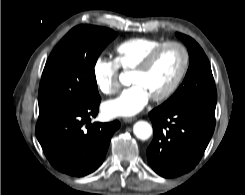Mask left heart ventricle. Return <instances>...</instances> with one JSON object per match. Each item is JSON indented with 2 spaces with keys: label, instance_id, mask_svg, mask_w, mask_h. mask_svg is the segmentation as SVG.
<instances>
[{
  "label": "left heart ventricle",
  "instance_id": "b2bd125f",
  "mask_svg": "<svg viewBox=\"0 0 245 195\" xmlns=\"http://www.w3.org/2000/svg\"><path fill=\"white\" fill-rule=\"evenodd\" d=\"M183 61L178 47L171 46L162 50L149 69L143 73H132L131 82L141 85L150 95L165 91L177 77Z\"/></svg>",
  "mask_w": 245,
  "mask_h": 195
}]
</instances>
